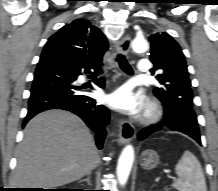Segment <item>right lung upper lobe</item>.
Returning a JSON list of instances; mask_svg holds the SVG:
<instances>
[{"label": "right lung upper lobe", "instance_id": "obj_1", "mask_svg": "<svg viewBox=\"0 0 218 191\" xmlns=\"http://www.w3.org/2000/svg\"><path fill=\"white\" fill-rule=\"evenodd\" d=\"M107 49L103 33L88 20L77 19L48 39L42 55L54 53L78 61H102Z\"/></svg>", "mask_w": 218, "mask_h": 191}]
</instances>
